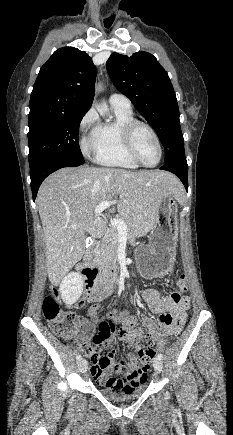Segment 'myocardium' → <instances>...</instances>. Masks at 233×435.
I'll list each match as a JSON object with an SVG mask.
<instances>
[{"mask_svg": "<svg viewBox=\"0 0 233 435\" xmlns=\"http://www.w3.org/2000/svg\"><path fill=\"white\" fill-rule=\"evenodd\" d=\"M139 127H143L146 130H148V132L151 134V136L154 139V141L156 143V146L158 148L159 159L153 165L145 164L141 160V158H140V156H139V154L137 152V149H136V146H135V143H134V134H135L136 130ZM122 137H123L125 148H126L128 154H129V156L139 166L145 167V168H154V167H156V166H158L160 164V162L162 160V157H163V149H162V145H161L160 139H159L156 131L154 130V128L151 125H149L148 123H146L144 121L134 119V120L128 122L127 124H125V126L122 129Z\"/></svg>", "mask_w": 233, "mask_h": 435, "instance_id": "myocardium-1", "label": "myocardium"}]
</instances>
